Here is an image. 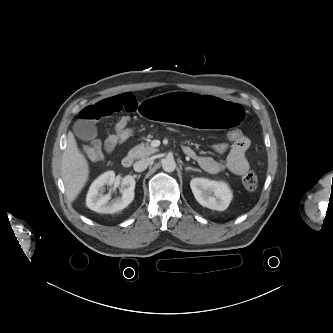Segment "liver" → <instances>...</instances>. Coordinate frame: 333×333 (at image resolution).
Listing matches in <instances>:
<instances>
[{
  "instance_id": "1",
  "label": "liver",
  "mask_w": 333,
  "mask_h": 333,
  "mask_svg": "<svg viewBox=\"0 0 333 333\" xmlns=\"http://www.w3.org/2000/svg\"><path fill=\"white\" fill-rule=\"evenodd\" d=\"M89 176L88 162L80 152L72 132H68L62 156V179L68 198L73 201L85 186Z\"/></svg>"
}]
</instances>
